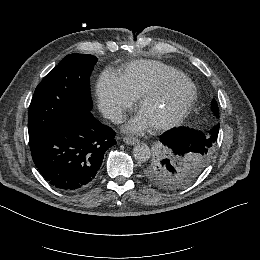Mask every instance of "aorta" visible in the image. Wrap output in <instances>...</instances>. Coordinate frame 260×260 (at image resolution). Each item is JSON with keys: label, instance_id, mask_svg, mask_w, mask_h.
I'll use <instances>...</instances> for the list:
<instances>
[{"label": "aorta", "instance_id": "obj_1", "mask_svg": "<svg viewBox=\"0 0 260 260\" xmlns=\"http://www.w3.org/2000/svg\"><path fill=\"white\" fill-rule=\"evenodd\" d=\"M133 156L140 162L146 161L151 156V150L147 144L141 143L133 147Z\"/></svg>", "mask_w": 260, "mask_h": 260}]
</instances>
